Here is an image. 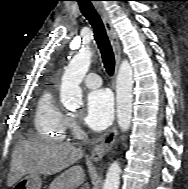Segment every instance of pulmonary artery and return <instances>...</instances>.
I'll return each instance as SVG.
<instances>
[{"label": "pulmonary artery", "mask_w": 188, "mask_h": 189, "mask_svg": "<svg viewBox=\"0 0 188 189\" xmlns=\"http://www.w3.org/2000/svg\"><path fill=\"white\" fill-rule=\"evenodd\" d=\"M84 84L89 88H97L102 84L101 77L96 73H89L83 79Z\"/></svg>", "instance_id": "obj_1"}]
</instances>
